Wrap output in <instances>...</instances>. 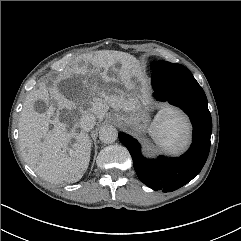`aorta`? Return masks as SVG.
I'll use <instances>...</instances> for the list:
<instances>
[{
    "label": "aorta",
    "instance_id": "aorta-1",
    "mask_svg": "<svg viewBox=\"0 0 241 241\" xmlns=\"http://www.w3.org/2000/svg\"><path fill=\"white\" fill-rule=\"evenodd\" d=\"M118 137L117 129L112 125H105L99 131V139L105 144H111Z\"/></svg>",
    "mask_w": 241,
    "mask_h": 241
}]
</instances>
